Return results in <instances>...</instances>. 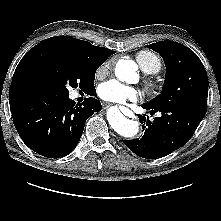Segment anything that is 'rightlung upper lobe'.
<instances>
[{
	"label": "right lung upper lobe",
	"instance_id": "1",
	"mask_svg": "<svg viewBox=\"0 0 221 221\" xmlns=\"http://www.w3.org/2000/svg\"><path fill=\"white\" fill-rule=\"evenodd\" d=\"M43 49L63 50L98 67L103 64L109 56L115 53L113 50L104 47L94 46L87 41L75 39L70 36H55L48 38L33 47L22 58L18 65H20L30 54L41 51ZM17 69L18 68H16L15 70L9 92L13 91L15 88H26L22 85L18 78Z\"/></svg>",
	"mask_w": 221,
	"mask_h": 221
}]
</instances>
